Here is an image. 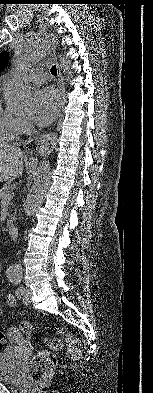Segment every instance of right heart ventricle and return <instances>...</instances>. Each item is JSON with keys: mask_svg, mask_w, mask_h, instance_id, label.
I'll return each instance as SVG.
<instances>
[{"mask_svg": "<svg viewBox=\"0 0 153 393\" xmlns=\"http://www.w3.org/2000/svg\"><path fill=\"white\" fill-rule=\"evenodd\" d=\"M21 133V120L4 110L0 101V143H8Z\"/></svg>", "mask_w": 153, "mask_h": 393, "instance_id": "obj_1", "label": "right heart ventricle"}]
</instances>
